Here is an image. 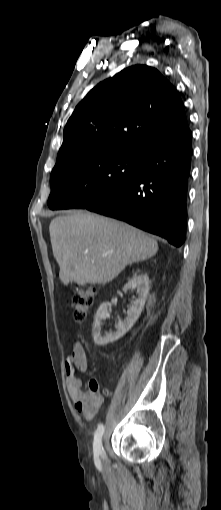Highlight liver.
<instances>
[{"label": "liver", "instance_id": "1", "mask_svg": "<svg viewBox=\"0 0 221 510\" xmlns=\"http://www.w3.org/2000/svg\"><path fill=\"white\" fill-rule=\"evenodd\" d=\"M49 231L65 286L104 285L127 265L151 258L158 250L157 241L141 230L87 212L56 217Z\"/></svg>", "mask_w": 221, "mask_h": 510}]
</instances>
